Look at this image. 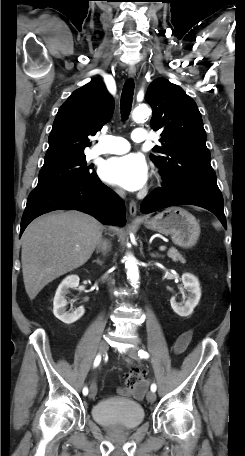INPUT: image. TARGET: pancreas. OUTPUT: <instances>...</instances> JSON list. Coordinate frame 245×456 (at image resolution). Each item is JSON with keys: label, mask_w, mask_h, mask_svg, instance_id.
Here are the masks:
<instances>
[{"label": "pancreas", "mask_w": 245, "mask_h": 456, "mask_svg": "<svg viewBox=\"0 0 245 456\" xmlns=\"http://www.w3.org/2000/svg\"><path fill=\"white\" fill-rule=\"evenodd\" d=\"M167 256L171 258L174 262L180 261L181 263H185L184 257L178 252V250L174 247H171L168 252Z\"/></svg>", "instance_id": "cf45deb5"}]
</instances>
